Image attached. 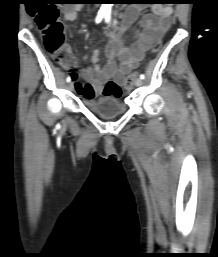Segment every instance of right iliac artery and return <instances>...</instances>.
Instances as JSON below:
<instances>
[{
	"instance_id": "1",
	"label": "right iliac artery",
	"mask_w": 218,
	"mask_h": 257,
	"mask_svg": "<svg viewBox=\"0 0 218 257\" xmlns=\"http://www.w3.org/2000/svg\"><path fill=\"white\" fill-rule=\"evenodd\" d=\"M104 16H105V13L104 12H98V14H97V16H96V19H95V21H96V23H100L101 21H102V19L104 18ZM70 80H71V77L70 76H68L67 78H66V81L67 82H70Z\"/></svg>"
}]
</instances>
